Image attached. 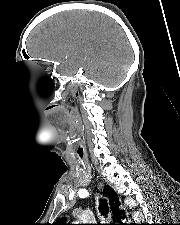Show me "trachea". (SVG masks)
I'll return each instance as SVG.
<instances>
[{
  "mask_svg": "<svg viewBox=\"0 0 180 225\" xmlns=\"http://www.w3.org/2000/svg\"><path fill=\"white\" fill-rule=\"evenodd\" d=\"M99 209L103 215H106L108 213V205L106 200H101Z\"/></svg>",
  "mask_w": 180,
  "mask_h": 225,
  "instance_id": "1",
  "label": "trachea"
}]
</instances>
